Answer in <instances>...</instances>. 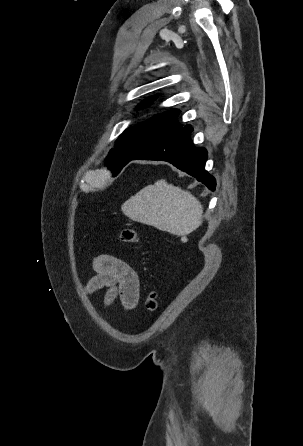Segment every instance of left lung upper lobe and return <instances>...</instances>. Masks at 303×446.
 Listing matches in <instances>:
<instances>
[{"instance_id": "1", "label": "left lung upper lobe", "mask_w": 303, "mask_h": 446, "mask_svg": "<svg viewBox=\"0 0 303 446\" xmlns=\"http://www.w3.org/2000/svg\"><path fill=\"white\" fill-rule=\"evenodd\" d=\"M156 97H150L139 108L149 106ZM178 109L159 113L152 118L126 129L117 139L115 148L106 158L107 166L114 172L124 160L134 156L153 143L172 135L182 125L177 122Z\"/></svg>"}]
</instances>
